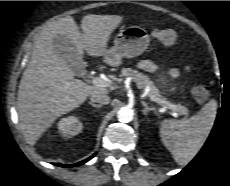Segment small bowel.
<instances>
[{
    "instance_id": "1",
    "label": "small bowel",
    "mask_w": 230,
    "mask_h": 186,
    "mask_svg": "<svg viewBox=\"0 0 230 186\" xmlns=\"http://www.w3.org/2000/svg\"><path fill=\"white\" fill-rule=\"evenodd\" d=\"M139 67L142 70H145V71H148V72H154L157 69V66L155 65V63H153L152 61H149V60L141 61L139 63ZM177 74H178L177 70H172V71L169 72V76L172 77V78L176 77Z\"/></svg>"
}]
</instances>
